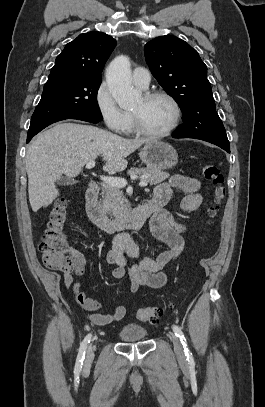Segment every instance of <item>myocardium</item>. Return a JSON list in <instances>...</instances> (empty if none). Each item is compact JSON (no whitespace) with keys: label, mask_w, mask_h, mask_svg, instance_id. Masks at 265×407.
<instances>
[{"label":"myocardium","mask_w":265,"mask_h":407,"mask_svg":"<svg viewBox=\"0 0 265 407\" xmlns=\"http://www.w3.org/2000/svg\"><path fill=\"white\" fill-rule=\"evenodd\" d=\"M142 97L146 101H150L156 98H164L168 100L174 109V118L172 123L165 130L159 132H151L144 129L143 126L141 125L139 117L135 113L131 112L133 131L142 137L151 139L163 138L170 135L178 127L182 117V109L177 99L170 93L161 90L146 92L143 94Z\"/></svg>","instance_id":"obj_1"}]
</instances>
